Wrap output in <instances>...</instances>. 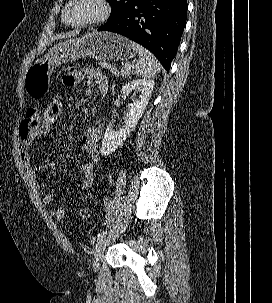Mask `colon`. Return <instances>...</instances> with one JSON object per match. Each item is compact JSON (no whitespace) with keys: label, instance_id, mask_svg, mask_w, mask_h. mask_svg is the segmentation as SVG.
Here are the masks:
<instances>
[{"label":"colon","instance_id":"obj_1","mask_svg":"<svg viewBox=\"0 0 272 303\" xmlns=\"http://www.w3.org/2000/svg\"><path fill=\"white\" fill-rule=\"evenodd\" d=\"M98 65L100 69L112 76L119 77L121 75V70L113 62L108 60H99ZM63 101L60 95H54L47 103L45 110L40 117L39 128L40 130L49 135L59 125L62 115ZM90 216V211L87 208H82L79 210L78 217L80 220H87Z\"/></svg>","mask_w":272,"mask_h":303}]
</instances>
